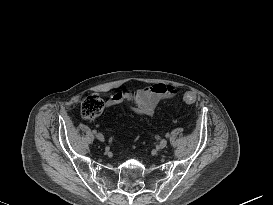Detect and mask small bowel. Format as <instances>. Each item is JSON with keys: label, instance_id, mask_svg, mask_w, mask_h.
Masks as SVG:
<instances>
[{"label": "small bowel", "instance_id": "c3829d8e", "mask_svg": "<svg viewBox=\"0 0 273 205\" xmlns=\"http://www.w3.org/2000/svg\"><path fill=\"white\" fill-rule=\"evenodd\" d=\"M176 90L171 85L153 84L142 89H127L112 94L105 102L107 108L114 107L123 102H132L134 107L130 111L139 116H152L156 106L162 101L171 99Z\"/></svg>", "mask_w": 273, "mask_h": 205}]
</instances>
